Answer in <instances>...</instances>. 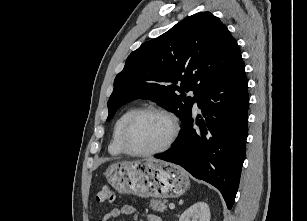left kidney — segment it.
Listing matches in <instances>:
<instances>
[{
  "mask_svg": "<svg viewBox=\"0 0 307 221\" xmlns=\"http://www.w3.org/2000/svg\"><path fill=\"white\" fill-rule=\"evenodd\" d=\"M179 221H210V209L206 202H197L180 216Z\"/></svg>",
  "mask_w": 307,
  "mask_h": 221,
  "instance_id": "1",
  "label": "left kidney"
}]
</instances>
